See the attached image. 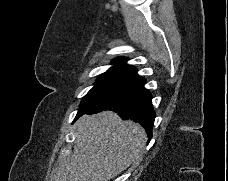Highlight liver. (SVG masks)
<instances>
[{"label":"liver","instance_id":"obj_1","mask_svg":"<svg viewBox=\"0 0 228 181\" xmlns=\"http://www.w3.org/2000/svg\"><path fill=\"white\" fill-rule=\"evenodd\" d=\"M75 129L71 159H63L54 181H111L143 159L145 129L133 121H122L117 113L84 115Z\"/></svg>","mask_w":228,"mask_h":181}]
</instances>
